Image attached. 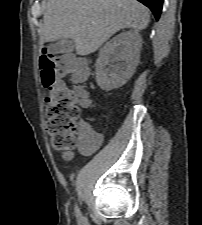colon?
<instances>
[{"label":"colon","mask_w":202,"mask_h":225,"mask_svg":"<svg viewBox=\"0 0 202 225\" xmlns=\"http://www.w3.org/2000/svg\"><path fill=\"white\" fill-rule=\"evenodd\" d=\"M42 84L49 93L45 98V130L51 137L52 148L69 160L74 149L90 146L91 129L79 125L78 91L67 83L65 76L75 81L83 79L85 62L76 57H60L48 48L40 56Z\"/></svg>","instance_id":"5ec220e1"}]
</instances>
